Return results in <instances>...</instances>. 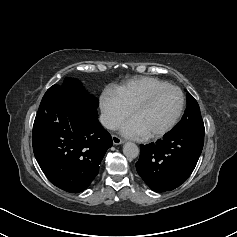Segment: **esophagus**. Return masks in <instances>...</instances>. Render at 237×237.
I'll use <instances>...</instances> for the list:
<instances>
[{
	"label": "esophagus",
	"mask_w": 237,
	"mask_h": 237,
	"mask_svg": "<svg viewBox=\"0 0 237 237\" xmlns=\"http://www.w3.org/2000/svg\"><path fill=\"white\" fill-rule=\"evenodd\" d=\"M112 141H113L114 145H120V144L124 143V140L116 135L112 136Z\"/></svg>",
	"instance_id": "obj_1"
}]
</instances>
